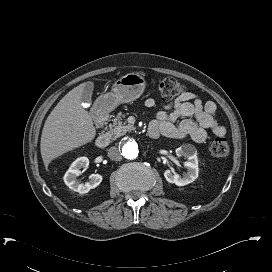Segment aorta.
Returning a JSON list of instances; mask_svg holds the SVG:
<instances>
[{
	"label": "aorta",
	"mask_w": 272,
	"mask_h": 272,
	"mask_svg": "<svg viewBox=\"0 0 272 272\" xmlns=\"http://www.w3.org/2000/svg\"><path fill=\"white\" fill-rule=\"evenodd\" d=\"M121 149L126 159L133 160L138 157L141 146L137 139L129 137L122 142Z\"/></svg>",
	"instance_id": "762f6f07"
}]
</instances>
